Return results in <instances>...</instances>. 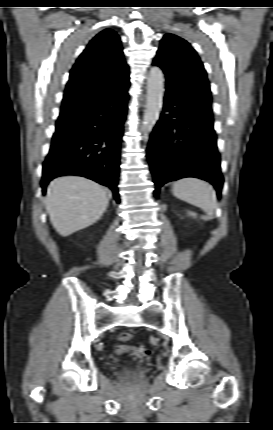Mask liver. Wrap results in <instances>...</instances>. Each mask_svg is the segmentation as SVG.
Instances as JSON below:
<instances>
[{
  "mask_svg": "<svg viewBox=\"0 0 273 430\" xmlns=\"http://www.w3.org/2000/svg\"><path fill=\"white\" fill-rule=\"evenodd\" d=\"M108 202L106 190L101 185L75 175L51 181L45 199L50 221L64 237L98 221Z\"/></svg>",
  "mask_w": 273,
  "mask_h": 430,
  "instance_id": "1",
  "label": "liver"
}]
</instances>
